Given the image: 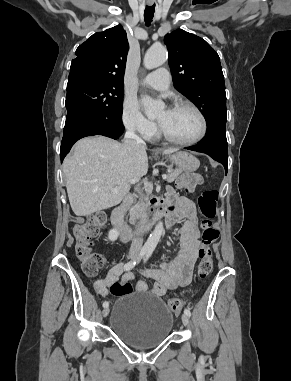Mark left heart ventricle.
I'll use <instances>...</instances> for the list:
<instances>
[{
    "label": "left heart ventricle",
    "mask_w": 291,
    "mask_h": 381,
    "mask_svg": "<svg viewBox=\"0 0 291 381\" xmlns=\"http://www.w3.org/2000/svg\"><path fill=\"white\" fill-rule=\"evenodd\" d=\"M156 120L165 132L179 140L193 139L201 129L199 116L186 107L164 109L159 112Z\"/></svg>",
    "instance_id": "b2bd125f"
}]
</instances>
